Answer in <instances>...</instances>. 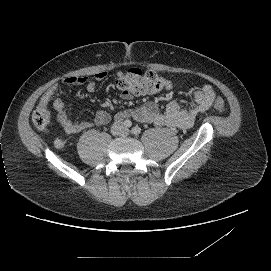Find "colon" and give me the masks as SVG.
<instances>
[{
  "mask_svg": "<svg viewBox=\"0 0 271 271\" xmlns=\"http://www.w3.org/2000/svg\"><path fill=\"white\" fill-rule=\"evenodd\" d=\"M117 86L122 92L131 95H152L167 89L169 83L155 71L143 72L131 68L117 81ZM47 105L40 103L32 115L33 124L40 130H46L52 121ZM213 105L219 112L226 109L224 100L219 97L214 99Z\"/></svg>",
  "mask_w": 271,
  "mask_h": 271,
  "instance_id": "1",
  "label": "colon"
}]
</instances>
